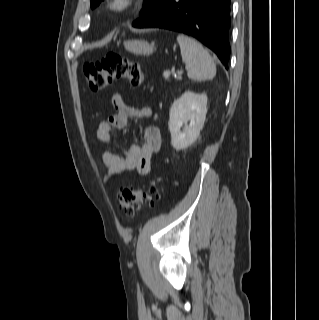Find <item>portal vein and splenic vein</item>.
Here are the masks:
<instances>
[{
	"label": "portal vein and splenic vein",
	"instance_id": "1",
	"mask_svg": "<svg viewBox=\"0 0 319 320\" xmlns=\"http://www.w3.org/2000/svg\"><path fill=\"white\" fill-rule=\"evenodd\" d=\"M179 73H181V72H178V74H179ZM170 75H171L170 71H164V73H163V77H164L165 79L169 78ZM174 75L176 76V73H174Z\"/></svg>",
	"mask_w": 319,
	"mask_h": 320
}]
</instances>
